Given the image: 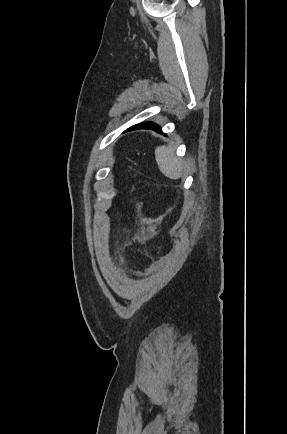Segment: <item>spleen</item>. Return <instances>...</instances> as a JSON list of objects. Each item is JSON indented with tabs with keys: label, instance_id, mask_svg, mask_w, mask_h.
<instances>
[{
	"label": "spleen",
	"instance_id": "spleen-1",
	"mask_svg": "<svg viewBox=\"0 0 287 434\" xmlns=\"http://www.w3.org/2000/svg\"><path fill=\"white\" fill-rule=\"evenodd\" d=\"M155 159L160 171L170 179L182 177V162L175 156L174 150L166 145L158 146L155 149Z\"/></svg>",
	"mask_w": 287,
	"mask_h": 434
}]
</instances>
